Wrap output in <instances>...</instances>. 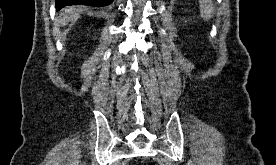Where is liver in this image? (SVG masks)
Returning <instances> with one entry per match:
<instances>
[{
	"label": "liver",
	"instance_id": "obj_1",
	"mask_svg": "<svg viewBox=\"0 0 276 165\" xmlns=\"http://www.w3.org/2000/svg\"><path fill=\"white\" fill-rule=\"evenodd\" d=\"M60 24L65 26L69 21H73L77 18V10L73 7H66L61 10Z\"/></svg>",
	"mask_w": 276,
	"mask_h": 165
}]
</instances>
